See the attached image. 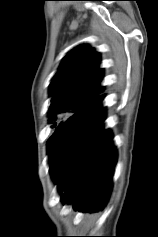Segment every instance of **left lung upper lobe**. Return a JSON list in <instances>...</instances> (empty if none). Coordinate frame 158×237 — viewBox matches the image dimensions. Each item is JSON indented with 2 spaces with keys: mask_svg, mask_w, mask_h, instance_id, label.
<instances>
[{
  "mask_svg": "<svg viewBox=\"0 0 158 237\" xmlns=\"http://www.w3.org/2000/svg\"><path fill=\"white\" fill-rule=\"evenodd\" d=\"M99 62V53L86 45L74 48L64 58L50 84L48 112L52 128L64 122H56L59 115L76 113L103 92Z\"/></svg>",
  "mask_w": 158,
  "mask_h": 237,
  "instance_id": "left-lung-upper-lobe-1",
  "label": "left lung upper lobe"
}]
</instances>
